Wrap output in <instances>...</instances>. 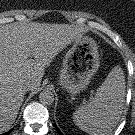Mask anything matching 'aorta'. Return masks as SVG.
Wrapping results in <instances>:
<instances>
[{
    "mask_svg": "<svg viewBox=\"0 0 135 135\" xmlns=\"http://www.w3.org/2000/svg\"><path fill=\"white\" fill-rule=\"evenodd\" d=\"M39 101L43 105H51L54 102V94L51 91H42L39 95Z\"/></svg>",
    "mask_w": 135,
    "mask_h": 135,
    "instance_id": "762f6f07",
    "label": "aorta"
}]
</instances>
